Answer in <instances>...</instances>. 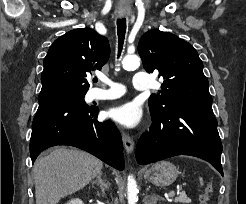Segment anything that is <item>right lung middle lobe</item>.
Wrapping results in <instances>:
<instances>
[{"label":"right lung middle lobe","instance_id":"dd1d6c3e","mask_svg":"<svg viewBox=\"0 0 246 204\" xmlns=\"http://www.w3.org/2000/svg\"><path fill=\"white\" fill-rule=\"evenodd\" d=\"M64 95H73V96H78V97L84 98V96H85V93H76V94H64Z\"/></svg>","mask_w":246,"mask_h":204}]
</instances>
